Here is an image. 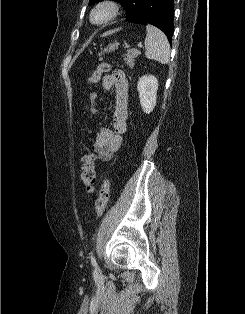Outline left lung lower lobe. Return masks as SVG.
Segmentation results:
<instances>
[{
    "mask_svg": "<svg viewBox=\"0 0 245 314\" xmlns=\"http://www.w3.org/2000/svg\"><path fill=\"white\" fill-rule=\"evenodd\" d=\"M174 0H144L138 12L126 19L135 23H149L162 30L169 42L174 31Z\"/></svg>",
    "mask_w": 245,
    "mask_h": 314,
    "instance_id": "1",
    "label": "left lung lower lobe"
}]
</instances>
